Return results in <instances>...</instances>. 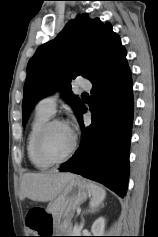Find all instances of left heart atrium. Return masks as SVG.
Instances as JSON below:
<instances>
[{
  "mask_svg": "<svg viewBox=\"0 0 158 237\" xmlns=\"http://www.w3.org/2000/svg\"><path fill=\"white\" fill-rule=\"evenodd\" d=\"M67 126V128L69 129V131L73 134V129H72V127L70 126V125H66Z\"/></svg>",
  "mask_w": 158,
  "mask_h": 237,
  "instance_id": "left-heart-atrium-1",
  "label": "left heart atrium"
}]
</instances>
